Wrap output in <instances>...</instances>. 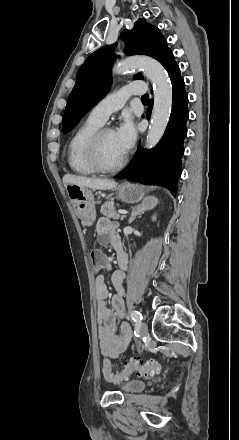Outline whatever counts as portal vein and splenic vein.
I'll return each mask as SVG.
<instances>
[{"mask_svg": "<svg viewBox=\"0 0 239 440\" xmlns=\"http://www.w3.org/2000/svg\"><path fill=\"white\" fill-rule=\"evenodd\" d=\"M118 215H125L128 214L126 209H120V212L117 213Z\"/></svg>", "mask_w": 239, "mask_h": 440, "instance_id": "1", "label": "portal vein and splenic vein"}]
</instances>
